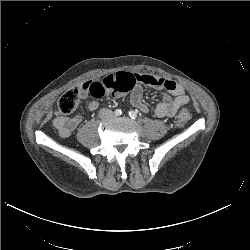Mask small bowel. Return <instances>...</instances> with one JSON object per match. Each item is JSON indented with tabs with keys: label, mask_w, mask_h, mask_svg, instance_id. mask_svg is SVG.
Segmentation results:
<instances>
[{
	"label": "small bowel",
	"mask_w": 250,
	"mask_h": 250,
	"mask_svg": "<svg viewBox=\"0 0 250 250\" xmlns=\"http://www.w3.org/2000/svg\"><path fill=\"white\" fill-rule=\"evenodd\" d=\"M98 81L104 83L107 87V93L115 97L129 95L132 105L143 113H148L149 108L142 98V86L165 90L167 95L153 111V115L160 119L172 118L177 110L189 101L184 89L177 83L149 74L118 72L107 75ZM92 82L94 81H86L80 85V97L82 99L88 95V88ZM85 104L90 111L96 110L99 106L98 101L93 98H87ZM82 120L81 115L74 117L58 116L54 118L53 124L59 135L67 138L81 124Z\"/></svg>",
	"instance_id": "1"
}]
</instances>
